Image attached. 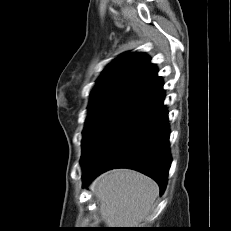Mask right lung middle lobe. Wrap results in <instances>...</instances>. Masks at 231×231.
<instances>
[{"mask_svg":"<svg viewBox=\"0 0 231 231\" xmlns=\"http://www.w3.org/2000/svg\"><path fill=\"white\" fill-rule=\"evenodd\" d=\"M150 105L129 96H110L89 104L82 138L83 166L93 153L119 128Z\"/></svg>","mask_w":231,"mask_h":231,"instance_id":"right-lung-middle-lobe-1","label":"right lung middle lobe"}]
</instances>
